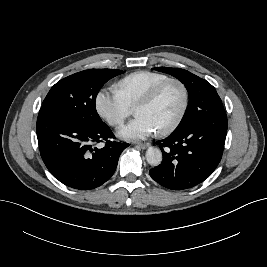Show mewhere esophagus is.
Instances as JSON below:
<instances>
[{"label": "esophagus", "mask_w": 267, "mask_h": 267, "mask_svg": "<svg viewBox=\"0 0 267 267\" xmlns=\"http://www.w3.org/2000/svg\"><path fill=\"white\" fill-rule=\"evenodd\" d=\"M150 144L149 143H138L136 144V147L146 149Z\"/></svg>", "instance_id": "34e87169"}]
</instances>
